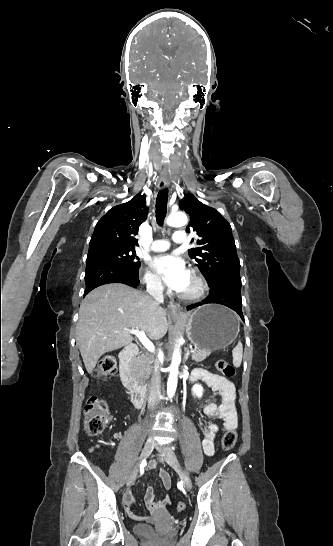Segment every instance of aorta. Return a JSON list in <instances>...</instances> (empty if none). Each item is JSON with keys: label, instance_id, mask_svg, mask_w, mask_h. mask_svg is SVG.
Listing matches in <instances>:
<instances>
[{"label": "aorta", "instance_id": "obj_1", "mask_svg": "<svg viewBox=\"0 0 333 546\" xmlns=\"http://www.w3.org/2000/svg\"><path fill=\"white\" fill-rule=\"evenodd\" d=\"M166 223L172 227H183L187 225L188 218L183 212L172 213L168 216ZM179 343L183 342V339H179ZM181 362V352L179 346L173 352L172 363L169 367V377L167 382V395L172 398L175 394L178 381L179 365Z\"/></svg>", "mask_w": 333, "mask_h": 546}]
</instances>
